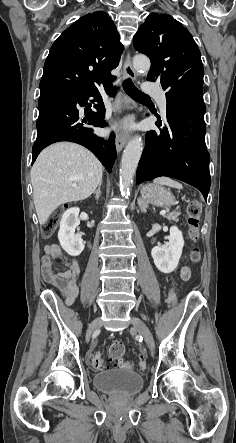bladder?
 I'll list each match as a JSON object with an SVG mask.
<instances>
[{
    "mask_svg": "<svg viewBox=\"0 0 236 443\" xmlns=\"http://www.w3.org/2000/svg\"><path fill=\"white\" fill-rule=\"evenodd\" d=\"M93 383L99 391L130 396L142 389L144 378L130 369L109 370L96 374Z\"/></svg>",
    "mask_w": 236,
    "mask_h": 443,
    "instance_id": "obj_1",
    "label": "bladder"
}]
</instances>
